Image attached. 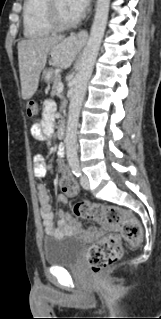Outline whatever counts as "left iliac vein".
Wrapping results in <instances>:
<instances>
[{
    "label": "left iliac vein",
    "instance_id": "obj_1",
    "mask_svg": "<svg viewBox=\"0 0 161 319\" xmlns=\"http://www.w3.org/2000/svg\"><path fill=\"white\" fill-rule=\"evenodd\" d=\"M80 184L86 190H88L90 188L89 180H88V177L86 175L83 174L80 177Z\"/></svg>",
    "mask_w": 161,
    "mask_h": 319
}]
</instances>
